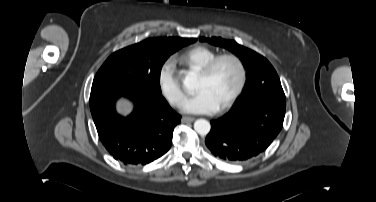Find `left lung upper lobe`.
<instances>
[{"mask_svg":"<svg viewBox=\"0 0 376 202\" xmlns=\"http://www.w3.org/2000/svg\"><path fill=\"white\" fill-rule=\"evenodd\" d=\"M200 41H208L213 45L224 47L236 54L243 62L247 71V82L244 95L235 109L250 106L256 102H267L286 109L285 94L280 79L266 58L233 40L202 37Z\"/></svg>","mask_w":376,"mask_h":202,"instance_id":"5c2ea615","label":"left lung upper lobe"}]
</instances>
